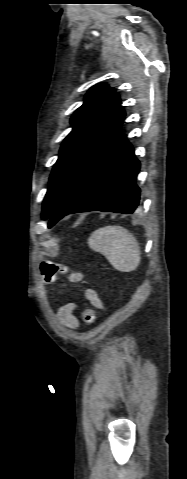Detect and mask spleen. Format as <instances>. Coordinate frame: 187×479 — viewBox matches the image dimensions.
Segmentation results:
<instances>
[{
    "instance_id": "1",
    "label": "spleen",
    "mask_w": 187,
    "mask_h": 479,
    "mask_svg": "<svg viewBox=\"0 0 187 479\" xmlns=\"http://www.w3.org/2000/svg\"><path fill=\"white\" fill-rule=\"evenodd\" d=\"M88 244L118 271L131 272L140 264L139 244L133 234L121 226L99 228L91 234Z\"/></svg>"
}]
</instances>
